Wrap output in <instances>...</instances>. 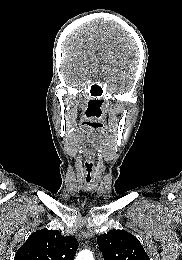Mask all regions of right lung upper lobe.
<instances>
[{
    "label": "right lung upper lobe",
    "instance_id": "1",
    "mask_svg": "<svg viewBox=\"0 0 182 260\" xmlns=\"http://www.w3.org/2000/svg\"><path fill=\"white\" fill-rule=\"evenodd\" d=\"M78 241L62 236L56 230L42 229L32 233L18 249L14 260H73Z\"/></svg>",
    "mask_w": 182,
    "mask_h": 260
}]
</instances>
